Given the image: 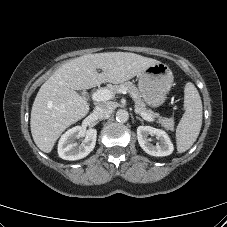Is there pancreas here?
Here are the masks:
<instances>
[{
    "label": "pancreas",
    "mask_w": 227,
    "mask_h": 227,
    "mask_svg": "<svg viewBox=\"0 0 227 227\" xmlns=\"http://www.w3.org/2000/svg\"><path fill=\"white\" fill-rule=\"evenodd\" d=\"M111 90L114 93H120L122 91L128 92L131 95V97L133 98V100L135 102V107L139 111V113H142V112L146 113L153 118L159 117L158 113H155L152 110L146 108L144 101L141 99V95H140L138 88L132 82L128 81V82L121 83L119 85H114L111 87ZM159 122L165 129L170 130V131L174 130V119L173 118L159 117Z\"/></svg>",
    "instance_id": "pancreas-1"
}]
</instances>
